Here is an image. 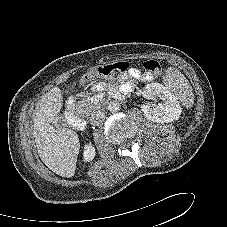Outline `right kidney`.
I'll list each match as a JSON object with an SVG mask.
<instances>
[{"label": "right kidney", "instance_id": "right-kidney-1", "mask_svg": "<svg viewBox=\"0 0 227 227\" xmlns=\"http://www.w3.org/2000/svg\"><path fill=\"white\" fill-rule=\"evenodd\" d=\"M95 154L96 152L94 146L91 143H87L83 151L84 161L86 162L92 161L95 157Z\"/></svg>", "mask_w": 227, "mask_h": 227}]
</instances>
